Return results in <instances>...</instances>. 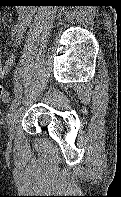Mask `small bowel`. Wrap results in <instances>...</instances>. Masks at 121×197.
Listing matches in <instances>:
<instances>
[{"instance_id":"1","label":"small bowel","mask_w":121,"mask_h":197,"mask_svg":"<svg viewBox=\"0 0 121 197\" xmlns=\"http://www.w3.org/2000/svg\"><path fill=\"white\" fill-rule=\"evenodd\" d=\"M33 12L29 8H21L18 10L17 22L11 30L12 47L17 48L30 26ZM14 62V55L11 54L4 62L0 59V79L5 78L11 70Z\"/></svg>"}]
</instances>
